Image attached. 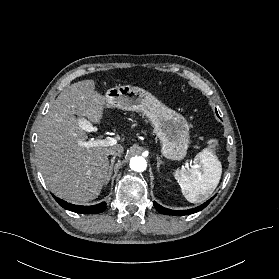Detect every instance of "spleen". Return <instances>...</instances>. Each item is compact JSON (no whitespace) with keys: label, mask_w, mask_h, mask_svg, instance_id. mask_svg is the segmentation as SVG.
<instances>
[{"label":"spleen","mask_w":279,"mask_h":279,"mask_svg":"<svg viewBox=\"0 0 279 279\" xmlns=\"http://www.w3.org/2000/svg\"><path fill=\"white\" fill-rule=\"evenodd\" d=\"M210 144L215 140H210ZM208 146L194 158L190 168L175 172L182 194L191 203L202 202L216 189L222 174L217 155Z\"/></svg>","instance_id":"3e777b00"}]
</instances>
